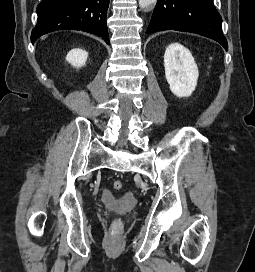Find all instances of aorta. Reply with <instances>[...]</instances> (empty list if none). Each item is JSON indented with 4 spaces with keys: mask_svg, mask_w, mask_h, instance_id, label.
I'll use <instances>...</instances> for the list:
<instances>
[{
    "mask_svg": "<svg viewBox=\"0 0 255 272\" xmlns=\"http://www.w3.org/2000/svg\"><path fill=\"white\" fill-rule=\"evenodd\" d=\"M157 0H139V6L142 9H147L150 6H153Z\"/></svg>",
    "mask_w": 255,
    "mask_h": 272,
    "instance_id": "762f6f07",
    "label": "aorta"
}]
</instances>
